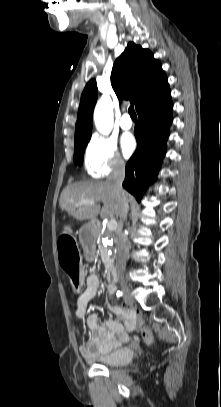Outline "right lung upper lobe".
<instances>
[{
  "mask_svg": "<svg viewBox=\"0 0 221 407\" xmlns=\"http://www.w3.org/2000/svg\"><path fill=\"white\" fill-rule=\"evenodd\" d=\"M111 84L119 99H129L136 110L168 87L167 77L153 54L133 42L117 58L111 73ZM97 100V85L90 80L81 96L75 126V144L90 140L92 116Z\"/></svg>",
  "mask_w": 221,
  "mask_h": 407,
  "instance_id": "1",
  "label": "right lung upper lobe"
}]
</instances>
